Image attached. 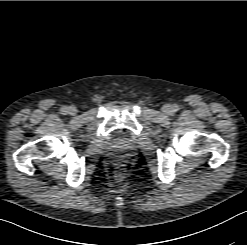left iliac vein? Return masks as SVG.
<instances>
[{
	"label": "left iliac vein",
	"mask_w": 247,
	"mask_h": 245,
	"mask_svg": "<svg viewBox=\"0 0 247 245\" xmlns=\"http://www.w3.org/2000/svg\"><path fill=\"white\" fill-rule=\"evenodd\" d=\"M162 111H163L164 114H170V112L172 111L171 105L165 104V105L162 107Z\"/></svg>",
	"instance_id": "1"
}]
</instances>
